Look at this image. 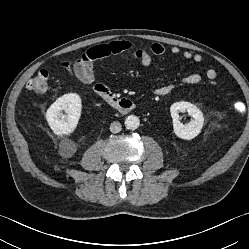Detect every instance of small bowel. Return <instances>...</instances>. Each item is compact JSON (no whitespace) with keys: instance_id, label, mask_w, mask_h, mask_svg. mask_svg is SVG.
<instances>
[{"instance_id":"c3829d8e","label":"small bowel","mask_w":249,"mask_h":249,"mask_svg":"<svg viewBox=\"0 0 249 249\" xmlns=\"http://www.w3.org/2000/svg\"><path fill=\"white\" fill-rule=\"evenodd\" d=\"M166 48L161 43H153L150 46H143L132 40H111L103 44L96 45L85 51L80 57L75 60L67 61L65 66L70 71L71 75L82 82L83 84H91L95 79L94 63L98 59H104L116 55H125L130 60L138 61L142 66L149 67L152 63L153 56L164 54ZM170 52L173 55L180 53L178 46H172ZM182 57L186 60H191L196 63L202 61L203 57L199 53L192 51H184ZM217 72L214 69L206 71V77L209 80L215 79ZM202 81V76L198 73H192L183 77L179 84L196 85ZM177 83H167L163 85H154L152 92L156 96H166L173 91ZM93 89L96 93H100L109 88L103 83H95Z\"/></svg>"}]
</instances>
